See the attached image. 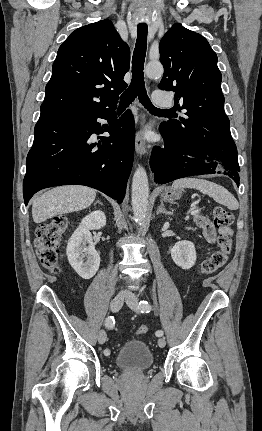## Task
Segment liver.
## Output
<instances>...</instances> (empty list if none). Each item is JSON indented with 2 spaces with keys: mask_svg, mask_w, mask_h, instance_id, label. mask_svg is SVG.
I'll list each match as a JSON object with an SVG mask.
<instances>
[{
  "mask_svg": "<svg viewBox=\"0 0 262 431\" xmlns=\"http://www.w3.org/2000/svg\"><path fill=\"white\" fill-rule=\"evenodd\" d=\"M96 192L86 186L53 188L32 201V218L41 223L57 215L83 210L95 200Z\"/></svg>",
  "mask_w": 262,
  "mask_h": 431,
  "instance_id": "1",
  "label": "liver"
}]
</instances>
